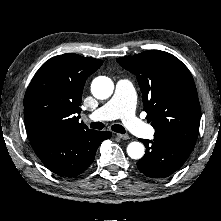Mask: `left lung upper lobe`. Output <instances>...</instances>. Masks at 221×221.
I'll use <instances>...</instances> for the list:
<instances>
[{
    "label": "left lung upper lobe",
    "instance_id": "left-lung-upper-lobe-1",
    "mask_svg": "<svg viewBox=\"0 0 221 221\" xmlns=\"http://www.w3.org/2000/svg\"><path fill=\"white\" fill-rule=\"evenodd\" d=\"M117 62L136 75L148 121L156 130L154 135L195 144L200 104L188 68L172 54L158 50L117 58Z\"/></svg>",
    "mask_w": 221,
    "mask_h": 221
}]
</instances>
